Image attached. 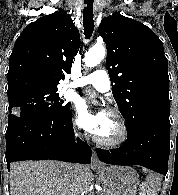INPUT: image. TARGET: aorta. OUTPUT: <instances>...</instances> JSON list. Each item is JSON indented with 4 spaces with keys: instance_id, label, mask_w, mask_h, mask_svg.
I'll return each mask as SVG.
<instances>
[{
    "instance_id": "1",
    "label": "aorta",
    "mask_w": 178,
    "mask_h": 195,
    "mask_svg": "<svg viewBox=\"0 0 178 195\" xmlns=\"http://www.w3.org/2000/svg\"><path fill=\"white\" fill-rule=\"evenodd\" d=\"M106 49L104 46H94L85 53L84 63L86 67H95L105 57Z\"/></svg>"
}]
</instances>
